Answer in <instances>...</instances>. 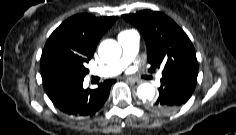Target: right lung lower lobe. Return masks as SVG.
I'll use <instances>...</instances> for the list:
<instances>
[{"label": "right lung lower lobe", "mask_w": 236, "mask_h": 135, "mask_svg": "<svg viewBox=\"0 0 236 135\" xmlns=\"http://www.w3.org/2000/svg\"><path fill=\"white\" fill-rule=\"evenodd\" d=\"M85 75L47 71L42 73L43 85L53 104L73 117L92 116L107 100L113 79L105 80L96 89H84Z\"/></svg>", "instance_id": "98d812e1"}]
</instances>
